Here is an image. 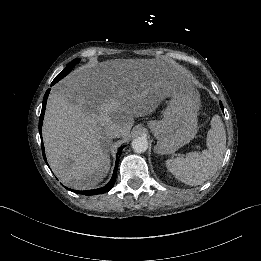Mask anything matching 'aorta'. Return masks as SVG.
Listing matches in <instances>:
<instances>
[{
	"instance_id": "aorta-1",
	"label": "aorta",
	"mask_w": 261,
	"mask_h": 261,
	"mask_svg": "<svg viewBox=\"0 0 261 261\" xmlns=\"http://www.w3.org/2000/svg\"><path fill=\"white\" fill-rule=\"evenodd\" d=\"M132 149L136 153H144L148 149V140L144 136H139L131 142Z\"/></svg>"
}]
</instances>
